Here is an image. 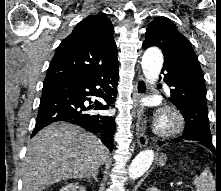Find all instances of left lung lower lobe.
<instances>
[{
  "mask_svg": "<svg viewBox=\"0 0 221 191\" xmlns=\"http://www.w3.org/2000/svg\"><path fill=\"white\" fill-rule=\"evenodd\" d=\"M163 72L164 81L171 87L170 100L178 106L185 118L182 136L173 141H199L206 138L210 128L206 88L197 58L189 57L179 67L164 66L161 73Z\"/></svg>",
  "mask_w": 221,
  "mask_h": 191,
  "instance_id": "obj_1",
  "label": "left lung lower lobe"
}]
</instances>
